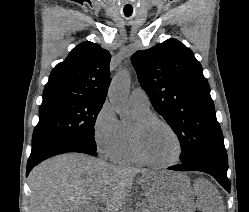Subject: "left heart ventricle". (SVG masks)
<instances>
[{
    "label": "left heart ventricle",
    "mask_w": 249,
    "mask_h": 212,
    "mask_svg": "<svg viewBox=\"0 0 249 212\" xmlns=\"http://www.w3.org/2000/svg\"><path fill=\"white\" fill-rule=\"evenodd\" d=\"M140 145L144 154L154 162L169 163L178 156L179 148L175 137L160 125L141 131Z\"/></svg>",
    "instance_id": "b2bd125f"
}]
</instances>
